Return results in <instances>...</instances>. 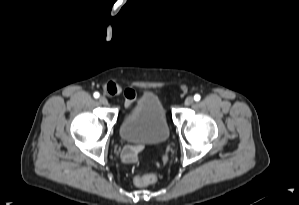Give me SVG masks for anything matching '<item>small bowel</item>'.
<instances>
[{
    "label": "small bowel",
    "instance_id": "1",
    "mask_svg": "<svg viewBox=\"0 0 299 205\" xmlns=\"http://www.w3.org/2000/svg\"><path fill=\"white\" fill-rule=\"evenodd\" d=\"M107 90L110 94H119L120 92H122L121 87L116 84H113L112 86L108 85ZM124 96L125 106L129 110L137 100V93L133 89L128 88L124 90ZM138 148V146H124L122 150L123 160L127 162L135 161Z\"/></svg>",
    "mask_w": 299,
    "mask_h": 205
}]
</instances>
